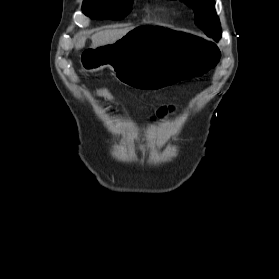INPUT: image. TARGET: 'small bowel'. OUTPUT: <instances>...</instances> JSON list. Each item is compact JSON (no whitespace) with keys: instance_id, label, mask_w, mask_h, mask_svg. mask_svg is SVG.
I'll return each mask as SVG.
<instances>
[{"instance_id":"obj_1","label":"small bowel","mask_w":279,"mask_h":279,"mask_svg":"<svg viewBox=\"0 0 279 279\" xmlns=\"http://www.w3.org/2000/svg\"><path fill=\"white\" fill-rule=\"evenodd\" d=\"M173 110H174V107L171 106V105L161 106L155 112L154 117L155 118H162V117L166 116L168 113L173 112Z\"/></svg>"}]
</instances>
